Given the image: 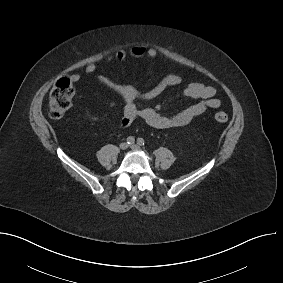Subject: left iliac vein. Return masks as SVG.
<instances>
[{"label":"left iliac vein","instance_id":"obj_1","mask_svg":"<svg viewBox=\"0 0 283 283\" xmlns=\"http://www.w3.org/2000/svg\"><path fill=\"white\" fill-rule=\"evenodd\" d=\"M130 147H131L132 150H136V151H140L141 150V147L138 146L137 144H132Z\"/></svg>","mask_w":283,"mask_h":283}]
</instances>
